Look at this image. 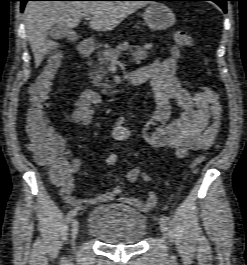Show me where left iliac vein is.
Returning a JSON list of instances; mask_svg holds the SVG:
<instances>
[{
	"mask_svg": "<svg viewBox=\"0 0 247 265\" xmlns=\"http://www.w3.org/2000/svg\"><path fill=\"white\" fill-rule=\"evenodd\" d=\"M159 224H160V230H161L164 238H167V235H168L167 223L165 221H163L162 219H160Z\"/></svg>",
	"mask_w": 247,
	"mask_h": 265,
	"instance_id": "obj_1",
	"label": "left iliac vein"
}]
</instances>
